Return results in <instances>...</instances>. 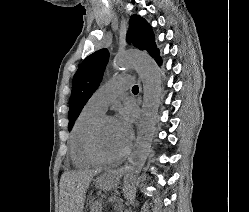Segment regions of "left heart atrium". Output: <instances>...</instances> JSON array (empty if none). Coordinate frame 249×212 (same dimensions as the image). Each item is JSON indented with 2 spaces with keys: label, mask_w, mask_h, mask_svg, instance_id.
Instances as JSON below:
<instances>
[{
  "label": "left heart atrium",
  "mask_w": 249,
  "mask_h": 212,
  "mask_svg": "<svg viewBox=\"0 0 249 212\" xmlns=\"http://www.w3.org/2000/svg\"><path fill=\"white\" fill-rule=\"evenodd\" d=\"M115 129L125 151L129 148L132 139V118L128 113L121 114L115 120Z\"/></svg>",
  "instance_id": "39dd6f15"
}]
</instances>
